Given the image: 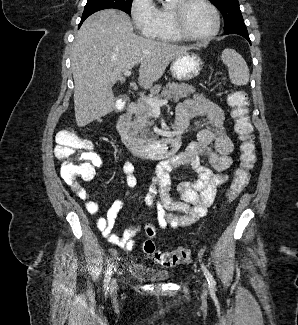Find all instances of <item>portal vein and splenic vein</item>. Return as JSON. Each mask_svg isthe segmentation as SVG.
Returning <instances> with one entry per match:
<instances>
[{
	"label": "portal vein and splenic vein",
	"instance_id": "18ae733b",
	"mask_svg": "<svg viewBox=\"0 0 298 325\" xmlns=\"http://www.w3.org/2000/svg\"><path fill=\"white\" fill-rule=\"evenodd\" d=\"M123 74H125V76H130L131 70H125ZM140 96L141 100H145V102H147V104L151 106L152 112H161L162 104H168L169 102V98H164V100H158V98H154V96H142V94H140Z\"/></svg>",
	"mask_w": 298,
	"mask_h": 325
}]
</instances>
